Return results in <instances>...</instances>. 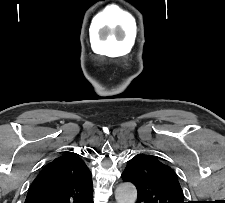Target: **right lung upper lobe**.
<instances>
[{"instance_id": "right-lung-upper-lobe-1", "label": "right lung upper lobe", "mask_w": 225, "mask_h": 203, "mask_svg": "<svg viewBox=\"0 0 225 203\" xmlns=\"http://www.w3.org/2000/svg\"><path fill=\"white\" fill-rule=\"evenodd\" d=\"M92 176L80 155L48 163L31 184L25 203H92Z\"/></svg>"}]
</instances>
